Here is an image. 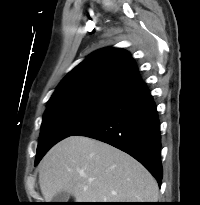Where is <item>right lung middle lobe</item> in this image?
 Here are the masks:
<instances>
[{
	"label": "right lung middle lobe",
	"mask_w": 200,
	"mask_h": 205,
	"mask_svg": "<svg viewBox=\"0 0 200 205\" xmlns=\"http://www.w3.org/2000/svg\"><path fill=\"white\" fill-rule=\"evenodd\" d=\"M114 101L99 97H77L49 105L43 116L35 165L54 144L94 121Z\"/></svg>",
	"instance_id": "right-lung-middle-lobe-1"
}]
</instances>
